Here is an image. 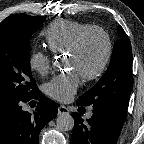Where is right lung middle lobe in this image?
<instances>
[{
  "instance_id": "right-lung-middle-lobe-1",
  "label": "right lung middle lobe",
  "mask_w": 144,
  "mask_h": 144,
  "mask_svg": "<svg viewBox=\"0 0 144 144\" xmlns=\"http://www.w3.org/2000/svg\"><path fill=\"white\" fill-rule=\"evenodd\" d=\"M46 16L11 15L0 23V104L27 101L39 90L30 70V38Z\"/></svg>"
}]
</instances>
